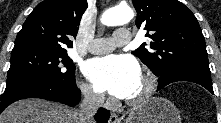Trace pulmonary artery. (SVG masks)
Listing matches in <instances>:
<instances>
[{
	"label": "pulmonary artery",
	"mask_w": 221,
	"mask_h": 123,
	"mask_svg": "<svg viewBox=\"0 0 221 123\" xmlns=\"http://www.w3.org/2000/svg\"><path fill=\"white\" fill-rule=\"evenodd\" d=\"M130 32L127 29H118L110 38L94 39L89 47V52L93 54H104L112 51L116 46H122L129 42Z\"/></svg>",
	"instance_id": "1"
}]
</instances>
